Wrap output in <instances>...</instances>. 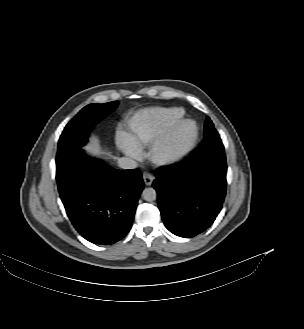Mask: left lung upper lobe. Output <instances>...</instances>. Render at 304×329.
Segmentation results:
<instances>
[{
	"label": "left lung upper lobe",
	"mask_w": 304,
	"mask_h": 329,
	"mask_svg": "<svg viewBox=\"0 0 304 329\" xmlns=\"http://www.w3.org/2000/svg\"><path fill=\"white\" fill-rule=\"evenodd\" d=\"M215 130L214 125L209 117H206L205 126H204V137L207 136L210 132Z\"/></svg>",
	"instance_id": "5c2ea615"
}]
</instances>
